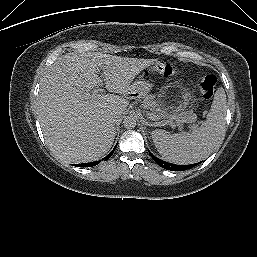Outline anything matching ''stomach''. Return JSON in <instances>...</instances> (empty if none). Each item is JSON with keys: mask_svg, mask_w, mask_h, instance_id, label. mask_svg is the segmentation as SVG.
I'll list each match as a JSON object with an SVG mask.
<instances>
[{"mask_svg": "<svg viewBox=\"0 0 257 257\" xmlns=\"http://www.w3.org/2000/svg\"><path fill=\"white\" fill-rule=\"evenodd\" d=\"M135 92L139 95H144L151 90L153 84L149 81H137L135 84Z\"/></svg>", "mask_w": 257, "mask_h": 257, "instance_id": "obj_1", "label": "stomach"}]
</instances>
